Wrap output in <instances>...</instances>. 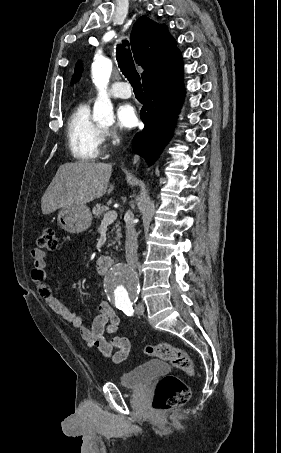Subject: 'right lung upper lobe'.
<instances>
[{"label":"right lung upper lobe","instance_id":"right-lung-upper-lobe-1","mask_svg":"<svg viewBox=\"0 0 281 453\" xmlns=\"http://www.w3.org/2000/svg\"><path fill=\"white\" fill-rule=\"evenodd\" d=\"M130 41L136 63L144 68L142 79L179 53L167 26L146 16H141L134 24Z\"/></svg>","mask_w":281,"mask_h":453}]
</instances>
